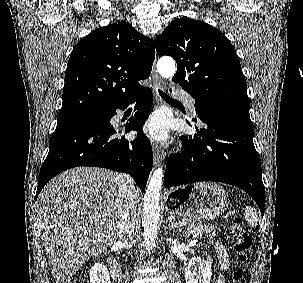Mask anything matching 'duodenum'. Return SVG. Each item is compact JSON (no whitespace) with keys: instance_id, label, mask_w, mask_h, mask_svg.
<instances>
[{"instance_id":"410a0bca","label":"duodenum","mask_w":303,"mask_h":283,"mask_svg":"<svg viewBox=\"0 0 303 283\" xmlns=\"http://www.w3.org/2000/svg\"><path fill=\"white\" fill-rule=\"evenodd\" d=\"M108 264H109L113 278L115 279V281H117L119 283L121 280V274H122L121 265H120L119 261L116 258L111 257L108 260Z\"/></svg>"}]
</instances>
